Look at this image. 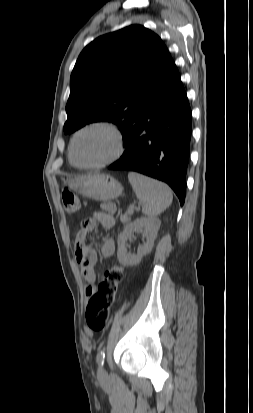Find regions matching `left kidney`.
<instances>
[{"label": "left kidney", "mask_w": 253, "mask_h": 413, "mask_svg": "<svg viewBox=\"0 0 253 413\" xmlns=\"http://www.w3.org/2000/svg\"><path fill=\"white\" fill-rule=\"evenodd\" d=\"M159 228L160 221L157 218H139L129 223L118 236L117 257L119 262L126 266L137 265L152 250ZM137 230L143 231L146 242L138 247L137 254H131L126 249V242Z\"/></svg>", "instance_id": "5707ae66"}]
</instances>
